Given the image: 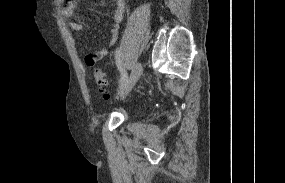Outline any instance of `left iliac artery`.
I'll use <instances>...</instances> for the list:
<instances>
[{"mask_svg":"<svg viewBox=\"0 0 285 183\" xmlns=\"http://www.w3.org/2000/svg\"><path fill=\"white\" fill-rule=\"evenodd\" d=\"M115 59H116L117 67L121 73V80H120V85H119V88L121 89L128 81V74L126 70L124 69V67L122 66L121 52L119 48H117L115 51Z\"/></svg>","mask_w":285,"mask_h":183,"instance_id":"44dca946","label":"left iliac artery"}]
</instances>
